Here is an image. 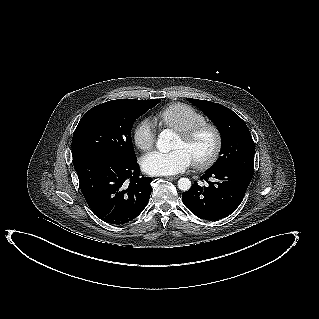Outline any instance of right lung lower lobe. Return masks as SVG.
Listing matches in <instances>:
<instances>
[{
	"label": "right lung lower lobe",
	"mask_w": 319,
	"mask_h": 319,
	"mask_svg": "<svg viewBox=\"0 0 319 319\" xmlns=\"http://www.w3.org/2000/svg\"><path fill=\"white\" fill-rule=\"evenodd\" d=\"M136 158L96 153L74 162L82 194L92 212L110 224H124L146 207L151 177H141Z\"/></svg>",
	"instance_id": "right-lung-lower-lobe-1"
}]
</instances>
